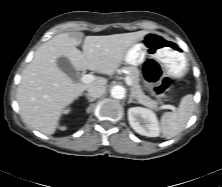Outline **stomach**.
I'll return each instance as SVG.
<instances>
[{"label": "stomach", "instance_id": "obj_1", "mask_svg": "<svg viewBox=\"0 0 222 187\" xmlns=\"http://www.w3.org/2000/svg\"><path fill=\"white\" fill-rule=\"evenodd\" d=\"M150 56L159 60L169 76L181 78L187 72L188 61L179 44L159 32H148L133 44L125 54L127 64L137 66Z\"/></svg>", "mask_w": 222, "mask_h": 187}]
</instances>
